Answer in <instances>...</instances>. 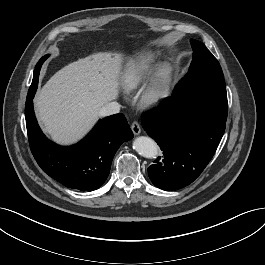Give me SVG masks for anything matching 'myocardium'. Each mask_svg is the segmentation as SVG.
<instances>
[{"instance_id":"obj_1","label":"myocardium","mask_w":265,"mask_h":265,"mask_svg":"<svg viewBox=\"0 0 265 265\" xmlns=\"http://www.w3.org/2000/svg\"><path fill=\"white\" fill-rule=\"evenodd\" d=\"M172 82V69L162 63L155 67L149 80L139 95V106L142 109L158 107L168 96Z\"/></svg>"}]
</instances>
